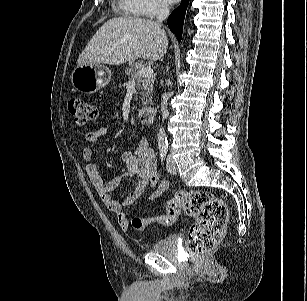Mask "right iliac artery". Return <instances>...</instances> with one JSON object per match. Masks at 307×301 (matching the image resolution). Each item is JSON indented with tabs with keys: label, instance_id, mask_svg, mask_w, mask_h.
I'll list each match as a JSON object with an SVG mask.
<instances>
[{
	"label": "right iliac artery",
	"instance_id": "right-iliac-artery-1",
	"mask_svg": "<svg viewBox=\"0 0 307 301\" xmlns=\"http://www.w3.org/2000/svg\"><path fill=\"white\" fill-rule=\"evenodd\" d=\"M159 150H160L161 162L163 164L164 161H165V157H166L167 151H168V147L163 146V147H160Z\"/></svg>",
	"mask_w": 307,
	"mask_h": 301
}]
</instances>
